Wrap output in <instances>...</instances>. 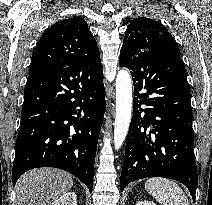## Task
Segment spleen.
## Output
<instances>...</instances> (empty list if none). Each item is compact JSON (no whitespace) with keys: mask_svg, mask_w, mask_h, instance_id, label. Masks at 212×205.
Segmentation results:
<instances>
[{"mask_svg":"<svg viewBox=\"0 0 212 205\" xmlns=\"http://www.w3.org/2000/svg\"><path fill=\"white\" fill-rule=\"evenodd\" d=\"M145 190L162 205H189L181 187L166 178H150L145 182Z\"/></svg>","mask_w":212,"mask_h":205,"instance_id":"spleen-1","label":"spleen"}]
</instances>
